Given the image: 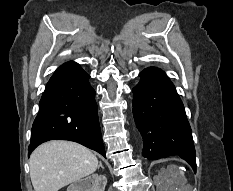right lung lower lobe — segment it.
I'll use <instances>...</instances> for the list:
<instances>
[{
    "instance_id": "right-lung-lower-lobe-1",
    "label": "right lung lower lobe",
    "mask_w": 233,
    "mask_h": 191,
    "mask_svg": "<svg viewBox=\"0 0 233 191\" xmlns=\"http://www.w3.org/2000/svg\"><path fill=\"white\" fill-rule=\"evenodd\" d=\"M89 78L75 62H67L55 71L39 103L29 154L43 142L63 139L80 143L105 157L95 90Z\"/></svg>"
}]
</instances>
